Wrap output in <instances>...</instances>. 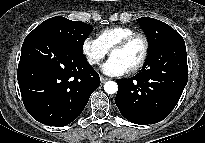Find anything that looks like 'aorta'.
I'll list each match as a JSON object with an SVG mask.
<instances>
[{"label": "aorta", "mask_w": 205, "mask_h": 143, "mask_svg": "<svg viewBox=\"0 0 205 143\" xmlns=\"http://www.w3.org/2000/svg\"><path fill=\"white\" fill-rule=\"evenodd\" d=\"M104 91L107 94H115L118 91V85L114 81H107L104 84Z\"/></svg>", "instance_id": "obj_1"}]
</instances>
